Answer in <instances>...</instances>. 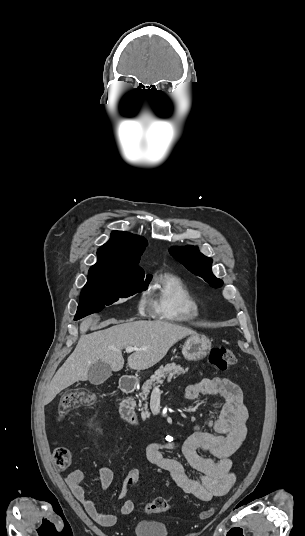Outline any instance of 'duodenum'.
I'll return each mask as SVG.
<instances>
[{
	"mask_svg": "<svg viewBox=\"0 0 305 536\" xmlns=\"http://www.w3.org/2000/svg\"><path fill=\"white\" fill-rule=\"evenodd\" d=\"M138 387V380L134 377L123 376L120 380V389L127 396L121 403L120 413L122 418L129 424L139 427L140 421L135 411L134 402L129 397Z\"/></svg>",
	"mask_w": 305,
	"mask_h": 536,
	"instance_id": "obj_1",
	"label": "duodenum"
}]
</instances>
